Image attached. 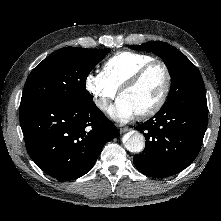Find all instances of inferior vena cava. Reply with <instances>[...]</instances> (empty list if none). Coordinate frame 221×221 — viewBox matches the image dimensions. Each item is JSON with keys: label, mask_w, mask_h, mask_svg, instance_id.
Masks as SVG:
<instances>
[{"label": "inferior vena cava", "mask_w": 221, "mask_h": 221, "mask_svg": "<svg viewBox=\"0 0 221 221\" xmlns=\"http://www.w3.org/2000/svg\"><path fill=\"white\" fill-rule=\"evenodd\" d=\"M99 106H100L101 109H105L107 107V104L106 103H104V104L99 103Z\"/></svg>", "instance_id": "602c4592"}]
</instances>
